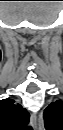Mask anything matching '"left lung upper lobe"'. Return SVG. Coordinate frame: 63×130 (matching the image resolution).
Listing matches in <instances>:
<instances>
[{"label":"left lung upper lobe","mask_w":63,"mask_h":130,"mask_svg":"<svg viewBox=\"0 0 63 130\" xmlns=\"http://www.w3.org/2000/svg\"><path fill=\"white\" fill-rule=\"evenodd\" d=\"M43 118L47 130H63V101L52 102L45 109Z\"/></svg>","instance_id":"1"}]
</instances>
